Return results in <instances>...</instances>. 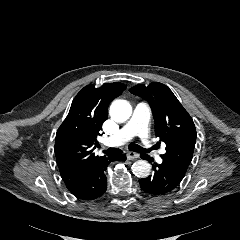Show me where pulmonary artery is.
<instances>
[{"label": "pulmonary artery", "mask_w": 240, "mask_h": 240, "mask_svg": "<svg viewBox=\"0 0 240 240\" xmlns=\"http://www.w3.org/2000/svg\"><path fill=\"white\" fill-rule=\"evenodd\" d=\"M150 109L147 104L139 103L134 109L131 119L114 135L109 138L110 145H120L134 136L140 137L143 147L149 153H154L153 144L149 137Z\"/></svg>", "instance_id": "e3ab8cb5"}]
</instances>
